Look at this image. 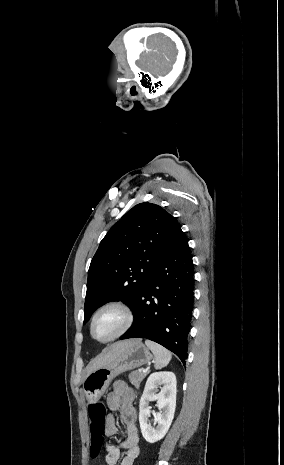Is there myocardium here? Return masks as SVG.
<instances>
[{"mask_svg":"<svg viewBox=\"0 0 284 465\" xmlns=\"http://www.w3.org/2000/svg\"><path fill=\"white\" fill-rule=\"evenodd\" d=\"M105 310H115L121 313V315L123 316V326L121 327L118 333H116L114 336L110 338L96 339L94 338L92 334L93 325H94V322L97 316ZM133 323H134V314H133V311L130 309V307H128L126 304L121 303V302H111V303L102 305L93 313V315L91 316L90 322H89V334H90V337L94 341L100 344H108L123 337L129 331Z\"/></svg>","mask_w":284,"mask_h":465,"instance_id":"f54148a6","label":"myocardium"}]
</instances>
